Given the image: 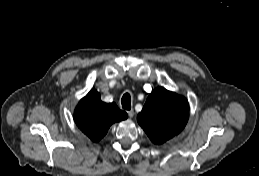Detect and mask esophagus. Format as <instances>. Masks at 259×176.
Listing matches in <instances>:
<instances>
[{
    "instance_id": "1",
    "label": "esophagus",
    "mask_w": 259,
    "mask_h": 176,
    "mask_svg": "<svg viewBox=\"0 0 259 176\" xmlns=\"http://www.w3.org/2000/svg\"><path fill=\"white\" fill-rule=\"evenodd\" d=\"M127 113H128V116L130 118H133V116H134V110L133 109L129 110Z\"/></svg>"
}]
</instances>
